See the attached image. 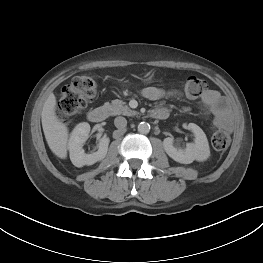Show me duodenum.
<instances>
[{
  "label": "duodenum",
  "mask_w": 263,
  "mask_h": 263,
  "mask_svg": "<svg viewBox=\"0 0 263 263\" xmlns=\"http://www.w3.org/2000/svg\"><path fill=\"white\" fill-rule=\"evenodd\" d=\"M108 114V110L106 107H96L91 109L88 112V119L93 123H100L103 122ZM169 113L165 109H158L153 112V117L157 119H166Z\"/></svg>",
  "instance_id": "duodenum-1"
}]
</instances>
